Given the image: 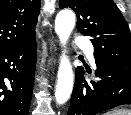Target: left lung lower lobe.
Wrapping results in <instances>:
<instances>
[{
  "label": "left lung lower lobe",
  "instance_id": "left-lung-lower-lobe-1",
  "mask_svg": "<svg viewBox=\"0 0 131 115\" xmlns=\"http://www.w3.org/2000/svg\"><path fill=\"white\" fill-rule=\"evenodd\" d=\"M98 81L87 82L82 67L76 69L75 85L67 115H97L119 105L131 104V73L95 59Z\"/></svg>",
  "mask_w": 131,
  "mask_h": 115
}]
</instances>
